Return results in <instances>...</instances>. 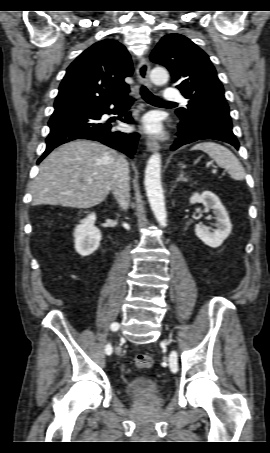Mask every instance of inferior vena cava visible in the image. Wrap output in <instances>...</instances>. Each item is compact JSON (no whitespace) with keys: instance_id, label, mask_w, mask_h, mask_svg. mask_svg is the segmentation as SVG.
<instances>
[{"instance_id":"obj_1","label":"inferior vena cava","mask_w":270,"mask_h":453,"mask_svg":"<svg viewBox=\"0 0 270 453\" xmlns=\"http://www.w3.org/2000/svg\"><path fill=\"white\" fill-rule=\"evenodd\" d=\"M112 193L123 210H127L130 202L129 166L123 156L114 163Z\"/></svg>"}]
</instances>
